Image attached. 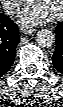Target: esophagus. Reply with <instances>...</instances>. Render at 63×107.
<instances>
[{"instance_id":"1","label":"esophagus","mask_w":63,"mask_h":107,"mask_svg":"<svg viewBox=\"0 0 63 107\" xmlns=\"http://www.w3.org/2000/svg\"><path fill=\"white\" fill-rule=\"evenodd\" d=\"M35 31H36V29L33 27H21V32L24 34H31Z\"/></svg>"}]
</instances>
